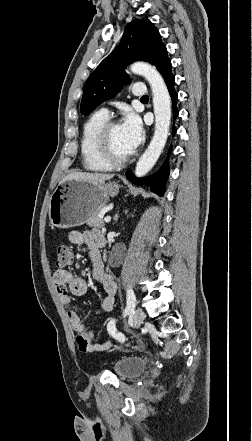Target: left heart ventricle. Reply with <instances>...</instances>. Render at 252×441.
Masks as SVG:
<instances>
[{
  "label": "left heart ventricle",
  "instance_id": "b2bd125f",
  "mask_svg": "<svg viewBox=\"0 0 252 441\" xmlns=\"http://www.w3.org/2000/svg\"><path fill=\"white\" fill-rule=\"evenodd\" d=\"M109 146L112 154L117 158H122L130 154L126 148L120 125L111 130L109 135Z\"/></svg>",
  "mask_w": 252,
  "mask_h": 441
}]
</instances>
